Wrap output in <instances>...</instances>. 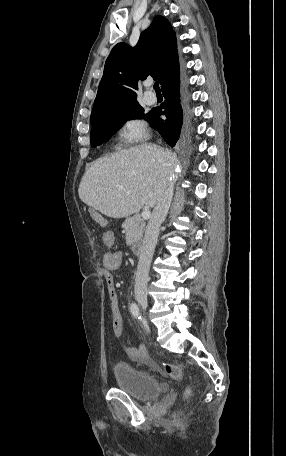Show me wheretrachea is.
<instances>
[{"instance_id": "3493384b", "label": "trachea", "mask_w": 286, "mask_h": 456, "mask_svg": "<svg viewBox=\"0 0 286 456\" xmlns=\"http://www.w3.org/2000/svg\"><path fill=\"white\" fill-rule=\"evenodd\" d=\"M154 89H155L156 92H160L159 83L158 82L154 83Z\"/></svg>"}]
</instances>
